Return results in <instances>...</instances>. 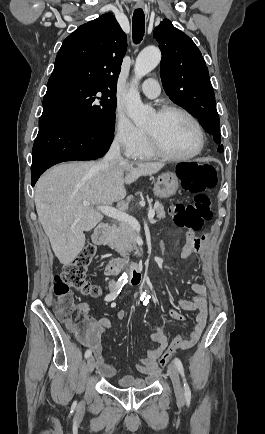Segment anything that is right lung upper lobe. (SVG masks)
Masks as SVG:
<instances>
[{
  "mask_svg": "<svg viewBox=\"0 0 265 434\" xmlns=\"http://www.w3.org/2000/svg\"><path fill=\"white\" fill-rule=\"evenodd\" d=\"M127 49L126 35L112 13L81 25L62 43L50 78L89 76L114 85Z\"/></svg>",
  "mask_w": 265,
  "mask_h": 434,
  "instance_id": "cb5924a9",
  "label": "right lung upper lobe"
}]
</instances>
